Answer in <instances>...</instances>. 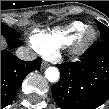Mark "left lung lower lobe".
<instances>
[{
    "label": "left lung lower lobe",
    "mask_w": 109,
    "mask_h": 109,
    "mask_svg": "<svg viewBox=\"0 0 109 109\" xmlns=\"http://www.w3.org/2000/svg\"><path fill=\"white\" fill-rule=\"evenodd\" d=\"M61 77L52 95L61 109H94L109 98V40L95 45L81 62L57 65Z\"/></svg>",
    "instance_id": "left-lung-lower-lobe-1"
}]
</instances>
